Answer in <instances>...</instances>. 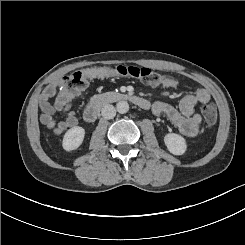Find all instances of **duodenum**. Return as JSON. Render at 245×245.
Returning <instances> with one entry per match:
<instances>
[{"mask_svg": "<svg viewBox=\"0 0 245 245\" xmlns=\"http://www.w3.org/2000/svg\"><path fill=\"white\" fill-rule=\"evenodd\" d=\"M126 101L140 108L149 109L151 104L148 100L130 93L109 92L94 97L84 110V119L87 122L95 121L100 115L101 110L108 104Z\"/></svg>", "mask_w": 245, "mask_h": 245, "instance_id": "duodenum-1", "label": "duodenum"}]
</instances>
